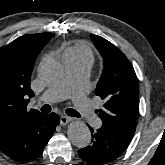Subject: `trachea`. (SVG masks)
Masks as SVG:
<instances>
[{
  "label": "trachea",
  "mask_w": 165,
  "mask_h": 165,
  "mask_svg": "<svg viewBox=\"0 0 165 165\" xmlns=\"http://www.w3.org/2000/svg\"><path fill=\"white\" fill-rule=\"evenodd\" d=\"M41 111L42 112H45V113H49L51 111V106L46 104V105H43L41 107ZM66 113L69 115V116H72V117H81V115L74 109L72 108H68L66 109Z\"/></svg>",
  "instance_id": "trachea-1"
}]
</instances>
